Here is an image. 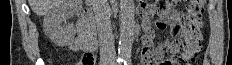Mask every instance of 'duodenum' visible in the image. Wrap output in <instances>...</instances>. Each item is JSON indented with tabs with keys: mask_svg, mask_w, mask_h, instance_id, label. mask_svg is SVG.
Masks as SVG:
<instances>
[{
	"mask_svg": "<svg viewBox=\"0 0 232 65\" xmlns=\"http://www.w3.org/2000/svg\"><path fill=\"white\" fill-rule=\"evenodd\" d=\"M78 32L88 42L89 50H93L95 48V25L93 15L90 12L81 14Z\"/></svg>",
	"mask_w": 232,
	"mask_h": 65,
	"instance_id": "410a0bca",
	"label": "duodenum"
}]
</instances>
